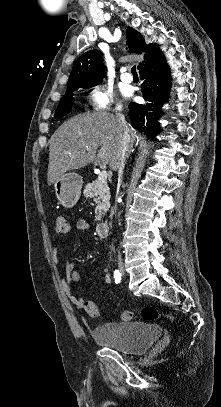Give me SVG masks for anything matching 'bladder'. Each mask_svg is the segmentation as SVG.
Wrapping results in <instances>:
<instances>
[{"label":"bladder","instance_id":"1","mask_svg":"<svg viewBox=\"0 0 221 407\" xmlns=\"http://www.w3.org/2000/svg\"><path fill=\"white\" fill-rule=\"evenodd\" d=\"M162 328L147 323H109L96 326L93 338L97 344L114 348L125 354H139L147 350Z\"/></svg>","mask_w":221,"mask_h":407}]
</instances>
